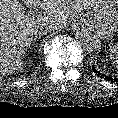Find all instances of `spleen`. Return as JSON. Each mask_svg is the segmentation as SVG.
I'll list each match as a JSON object with an SVG mask.
<instances>
[{
	"label": "spleen",
	"mask_w": 118,
	"mask_h": 118,
	"mask_svg": "<svg viewBox=\"0 0 118 118\" xmlns=\"http://www.w3.org/2000/svg\"><path fill=\"white\" fill-rule=\"evenodd\" d=\"M110 59L118 69V42L110 47Z\"/></svg>",
	"instance_id": "spleen-1"
}]
</instances>
